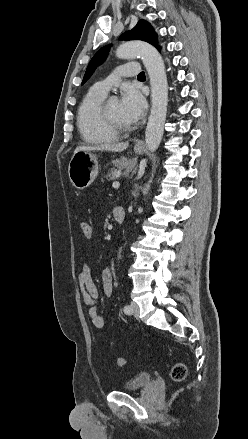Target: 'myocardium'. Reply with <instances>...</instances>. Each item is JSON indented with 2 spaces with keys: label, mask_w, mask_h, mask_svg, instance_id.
Instances as JSON below:
<instances>
[{
  "label": "myocardium",
  "mask_w": 248,
  "mask_h": 439,
  "mask_svg": "<svg viewBox=\"0 0 248 439\" xmlns=\"http://www.w3.org/2000/svg\"><path fill=\"white\" fill-rule=\"evenodd\" d=\"M108 103L109 102H103L100 108V118L104 126L111 132L116 134H125L130 132L133 129V126L130 125H122L114 121L109 113L108 110Z\"/></svg>",
  "instance_id": "myocardium-1"
}]
</instances>
